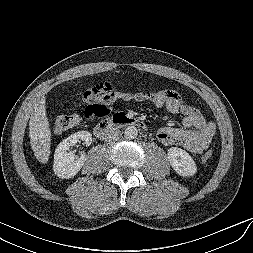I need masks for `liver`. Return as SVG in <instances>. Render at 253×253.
<instances>
[{
  "mask_svg": "<svg viewBox=\"0 0 253 253\" xmlns=\"http://www.w3.org/2000/svg\"><path fill=\"white\" fill-rule=\"evenodd\" d=\"M45 103L46 99L42 97L35 105L29 121L31 148L36 159L42 164L48 162L51 147V130Z\"/></svg>",
  "mask_w": 253,
  "mask_h": 253,
  "instance_id": "1",
  "label": "liver"
}]
</instances>
